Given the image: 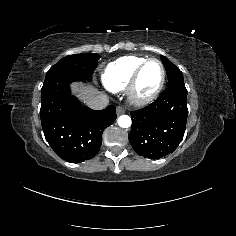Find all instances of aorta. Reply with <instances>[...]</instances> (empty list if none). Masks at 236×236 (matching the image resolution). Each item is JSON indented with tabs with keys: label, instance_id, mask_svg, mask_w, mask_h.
Here are the masks:
<instances>
[{
	"label": "aorta",
	"instance_id": "1",
	"mask_svg": "<svg viewBox=\"0 0 236 236\" xmlns=\"http://www.w3.org/2000/svg\"><path fill=\"white\" fill-rule=\"evenodd\" d=\"M118 125L122 128H128L131 126V118L128 115H121L118 120Z\"/></svg>",
	"mask_w": 236,
	"mask_h": 236
}]
</instances>
